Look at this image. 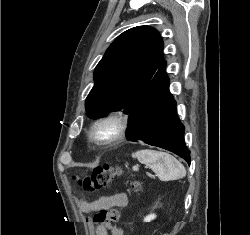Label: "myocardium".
Returning <instances> with one entry per match:
<instances>
[{"mask_svg": "<svg viewBox=\"0 0 250 235\" xmlns=\"http://www.w3.org/2000/svg\"><path fill=\"white\" fill-rule=\"evenodd\" d=\"M128 127L126 113L120 110L110 111L94 119L88 131V139L98 147L115 145L125 138ZM105 129L108 133L103 134Z\"/></svg>", "mask_w": 250, "mask_h": 235, "instance_id": "obj_1", "label": "myocardium"}]
</instances>
